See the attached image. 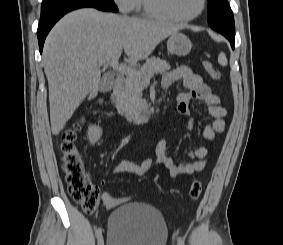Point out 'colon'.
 <instances>
[{"instance_id":"1","label":"colon","mask_w":283,"mask_h":245,"mask_svg":"<svg viewBox=\"0 0 283 245\" xmlns=\"http://www.w3.org/2000/svg\"><path fill=\"white\" fill-rule=\"evenodd\" d=\"M209 77L215 81L220 80V72L208 61L203 62ZM79 124L67 129L62 135L60 144L62 170L65 176L68 193L70 197L87 212H93L100 201L99 190L92 184L86 174L83 157L77 146ZM201 182L194 181L189 188V196L192 200H198L202 195ZM101 200L103 205L112 209L124 203V199L113 197L105 193Z\"/></svg>"}]
</instances>
